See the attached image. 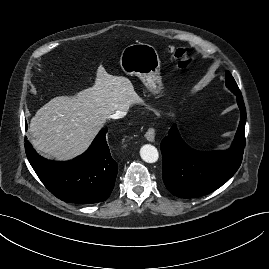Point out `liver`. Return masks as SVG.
<instances>
[{
  "label": "liver",
  "mask_w": 269,
  "mask_h": 269,
  "mask_svg": "<svg viewBox=\"0 0 269 269\" xmlns=\"http://www.w3.org/2000/svg\"><path fill=\"white\" fill-rule=\"evenodd\" d=\"M131 81L99 69L95 84L76 96H59L41 107L30 122V140L46 157L68 160L83 153L116 111L139 103Z\"/></svg>",
  "instance_id": "6515ba94"
}]
</instances>
